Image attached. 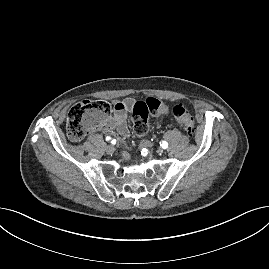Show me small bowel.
<instances>
[{
    "label": "small bowel",
    "mask_w": 269,
    "mask_h": 269,
    "mask_svg": "<svg viewBox=\"0 0 269 269\" xmlns=\"http://www.w3.org/2000/svg\"><path fill=\"white\" fill-rule=\"evenodd\" d=\"M134 104L135 100L133 98L115 101L113 103L112 116L100 128L106 131L116 130L123 138L129 137L130 131L127 125V114L133 108ZM123 157L125 160H129L127 153H124Z\"/></svg>",
    "instance_id": "1"
}]
</instances>
